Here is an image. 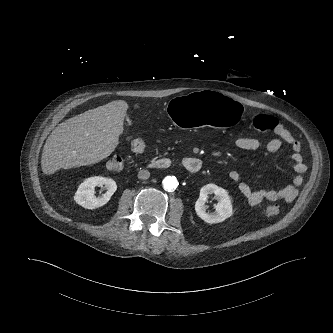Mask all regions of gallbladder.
<instances>
[{
    "mask_svg": "<svg viewBox=\"0 0 333 333\" xmlns=\"http://www.w3.org/2000/svg\"><path fill=\"white\" fill-rule=\"evenodd\" d=\"M127 123H128V124H130V123H131V121H130L129 119H127Z\"/></svg>",
    "mask_w": 333,
    "mask_h": 333,
    "instance_id": "1",
    "label": "gallbladder"
}]
</instances>
